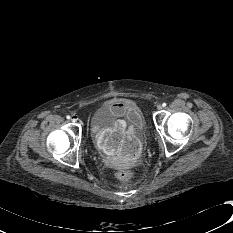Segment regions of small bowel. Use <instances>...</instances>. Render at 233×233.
Returning <instances> with one entry per match:
<instances>
[{"label": "small bowel", "mask_w": 233, "mask_h": 233, "mask_svg": "<svg viewBox=\"0 0 233 233\" xmlns=\"http://www.w3.org/2000/svg\"><path fill=\"white\" fill-rule=\"evenodd\" d=\"M113 107L122 111L129 109L131 104L124 100L113 102ZM98 143L102 150L116 161L127 162L137 159L142 153V142L132 131L108 130L98 133Z\"/></svg>", "instance_id": "obj_1"}]
</instances>
